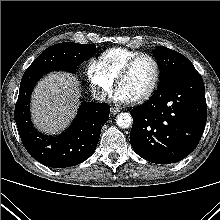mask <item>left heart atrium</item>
<instances>
[{"label": "left heart atrium", "instance_id": "39dd6f15", "mask_svg": "<svg viewBox=\"0 0 220 220\" xmlns=\"http://www.w3.org/2000/svg\"><path fill=\"white\" fill-rule=\"evenodd\" d=\"M114 99L117 102H121V103H127L132 101L125 93H123L121 90H117L115 95H114Z\"/></svg>", "mask_w": 220, "mask_h": 220}]
</instances>
